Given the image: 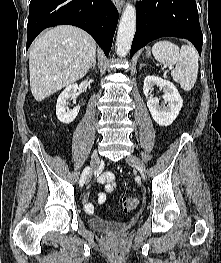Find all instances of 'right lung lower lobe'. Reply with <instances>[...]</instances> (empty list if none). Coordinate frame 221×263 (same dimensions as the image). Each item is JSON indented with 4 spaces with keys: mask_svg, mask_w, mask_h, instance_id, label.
<instances>
[{
    "mask_svg": "<svg viewBox=\"0 0 221 263\" xmlns=\"http://www.w3.org/2000/svg\"><path fill=\"white\" fill-rule=\"evenodd\" d=\"M117 22L111 0H31L26 49L45 28L70 24L88 32L108 55Z\"/></svg>",
    "mask_w": 221,
    "mask_h": 263,
    "instance_id": "right-lung-lower-lobe-1",
    "label": "right lung lower lobe"
}]
</instances>
